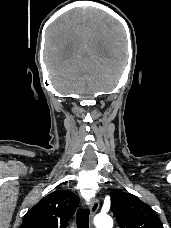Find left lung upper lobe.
Masks as SVG:
<instances>
[{
	"instance_id": "obj_1",
	"label": "left lung upper lobe",
	"mask_w": 171,
	"mask_h": 228,
	"mask_svg": "<svg viewBox=\"0 0 171 228\" xmlns=\"http://www.w3.org/2000/svg\"><path fill=\"white\" fill-rule=\"evenodd\" d=\"M110 197L120 228H164L154 210L138 197L117 189L110 192Z\"/></svg>"
}]
</instances>
